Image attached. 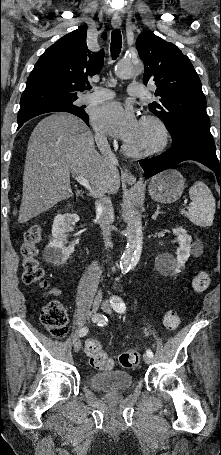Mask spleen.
Segmentation results:
<instances>
[{"instance_id": "spleen-1", "label": "spleen", "mask_w": 221, "mask_h": 455, "mask_svg": "<svg viewBox=\"0 0 221 455\" xmlns=\"http://www.w3.org/2000/svg\"><path fill=\"white\" fill-rule=\"evenodd\" d=\"M189 195L192 205L187 211L181 209L180 213L197 226H212L216 203L208 186L200 181L195 182L189 190Z\"/></svg>"}]
</instances>
